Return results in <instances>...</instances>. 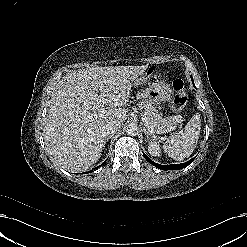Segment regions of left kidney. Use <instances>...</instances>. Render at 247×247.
<instances>
[{
    "mask_svg": "<svg viewBox=\"0 0 247 247\" xmlns=\"http://www.w3.org/2000/svg\"><path fill=\"white\" fill-rule=\"evenodd\" d=\"M148 152L153 157H160L161 156V148H160L159 144L155 141L149 142Z\"/></svg>",
    "mask_w": 247,
    "mask_h": 247,
    "instance_id": "5707ae66",
    "label": "left kidney"
}]
</instances>
